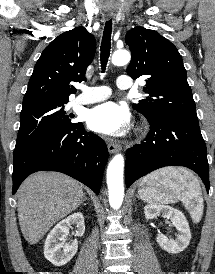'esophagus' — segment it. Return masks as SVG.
I'll return each instance as SVG.
<instances>
[{"mask_svg":"<svg viewBox=\"0 0 215 274\" xmlns=\"http://www.w3.org/2000/svg\"><path fill=\"white\" fill-rule=\"evenodd\" d=\"M108 16L110 17L111 14H108ZM121 150V145L115 142H109L108 143V151L110 153H116L119 152Z\"/></svg>","mask_w":215,"mask_h":274,"instance_id":"34e87169","label":"esophagus"}]
</instances>
